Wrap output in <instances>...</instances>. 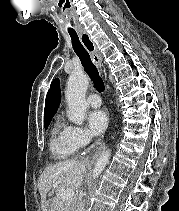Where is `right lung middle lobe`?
<instances>
[{
  "instance_id": "obj_1",
  "label": "right lung middle lobe",
  "mask_w": 179,
  "mask_h": 211,
  "mask_svg": "<svg viewBox=\"0 0 179 211\" xmlns=\"http://www.w3.org/2000/svg\"><path fill=\"white\" fill-rule=\"evenodd\" d=\"M53 117H50V118H47V119H44V125H45V129L48 128L51 120H52Z\"/></svg>"
}]
</instances>
